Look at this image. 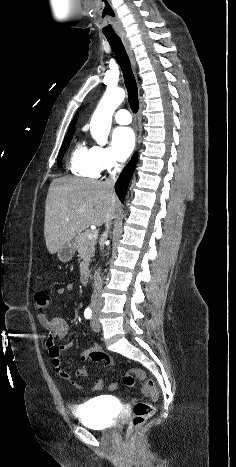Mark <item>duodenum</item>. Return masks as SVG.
Returning <instances> with one entry per match:
<instances>
[{
	"label": "duodenum",
	"instance_id": "410a0bca",
	"mask_svg": "<svg viewBox=\"0 0 236 467\" xmlns=\"http://www.w3.org/2000/svg\"><path fill=\"white\" fill-rule=\"evenodd\" d=\"M80 282L83 286H86L89 282V272L87 270H84L81 274L80 277Z\"/></svg>",
	"mask_w": 236,
	"mask_h": 467
}]
</instances>
